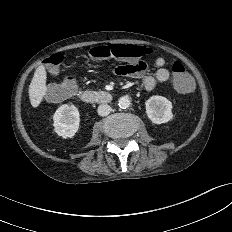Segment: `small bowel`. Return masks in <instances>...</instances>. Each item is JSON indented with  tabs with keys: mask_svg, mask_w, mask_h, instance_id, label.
Here are the masks:
<instances>
[{
	"mask_svg": "<svg viewBox=\"0 0 232 232\" xmlns=\"http://www.w3.org/2000/svg\"><path fill=\"white\" fill-rule=\"evenodd\" d=\"M155 65L157 70L154 75L148 74L147 64L145 62H141L137 67L135 66H118L113 72L119 76H130L134 78H141L143 81V86L146 91H152L157 83H164L169 80L170 72L165 67V59L163 57H157L155 59ZM53 72L51 74H56Z\"/></svg>",
	"mask_w": 232,
	"mask_h": 232,
	"instance_id": "obj_1",
	"label": "small bowel"
}]
</instances>
